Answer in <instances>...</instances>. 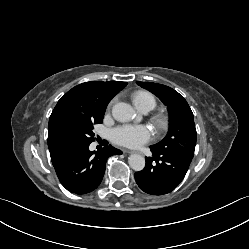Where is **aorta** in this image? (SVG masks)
I'll return each instance as SVG.
<instances>
[{
    "label": "aorta",
    "instance_id": "aorta-1",
    "mask_svg": "<svg viewBox=\"0 0 249 249\" xmlns=\"http://www.w3.org/2000/svg\"><path fill=\"white\" fill-rule=\"evenodd\" d=\"M135 111L127 103H116L112 108V116L119 122H128L134 118ZM130 167L135 171H141L145 167V158L139 154H132L128 158Z\"/></svg>",
    "mask_w": 249,
    "mask_h": 249
}]
</instances>
